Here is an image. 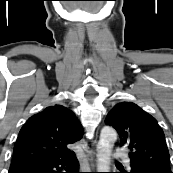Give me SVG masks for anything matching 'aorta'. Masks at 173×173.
Masks as SVG:
<instances>
[{
    "label": "aorta",
    "instance_id": "obj_1",
    "mask_svg": "<svg viewBox=\"0 0 173 173\" xmlns=\"http://www.w3.org/2000/svg\"><path fill=\"white\" fill-rule=\"evenodd\" d=\"M116 140L115 129L109 126L102 128L97 145V172H109L110 157Z\"/></svg>",
    "mask_w": 173,
    "mask_h": 173
}]
</instances>
